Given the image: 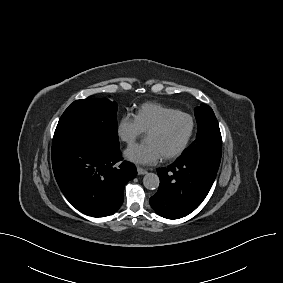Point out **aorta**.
Returning <instances> with one entry per match:
<instances>
[{
    "label": "aorta",
    "instance_id": "obj_1",
    "mask_svg": "<svg viewBox=\"0 0 283 283\" xmlns=\"http://www.w3.org/2000/svg\"><path fill=\"white\" fill-rule=\"evenodd\" d=\"M143 184L147 189L158 188L160 184L158 175L154 173H147L143 178Z\"/></svg>",
    "mask_w": 283,
    "mask_h": 283
}]
</instances>
